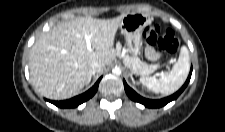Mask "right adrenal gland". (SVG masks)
I'll list each match as a JSON object with an SVG mask.
<instances>
[{
  "label": "right adrenal gland",
  "instance_id": "obj_1",
  "mask_svg": "<svg viewBox=\"0 0 225 132\" xmlns=\"http://www.w3.org/2000/svg\"><path fill=\"white\" fill-rule=\"evenodd\" d=\"M91 78H92V75L89 76V79H88L86 85H89V83L91 82Z\"/></svg>",
  "mask_w": 225,
  "mask_h": 132
}]
</instances>
